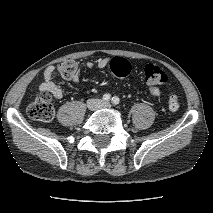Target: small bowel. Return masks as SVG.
<instances>
[{
	"label": "small bowel",
	"mask_w": 213,
	"mask_h": 213,
	"mask_svg": "<svg viewBox=\"0 0 213 213\" xmlns=\"http://www.w3.org/2000/svg\"><path fill=\"white\" fill-rule=\"evenodd\" d=\"M110 62H111L110 59L104 58L100 59L97 63L88 62L86 64V67L88 69H92L94 67L98 69H103L107 67L110 64ZM55 73H56L55 66L50 65L46 67L43 73V80L40 84V90L50 92L55 99H61L63 97V90L61 86L54 81ZM77 79H78L77 75L74 78H72L73 81H77ZM150 94L154 97H157L160 95V90L157 87H151Z\"/></svg>",
	"instance_id": "obj_1"
}]
</instances>
